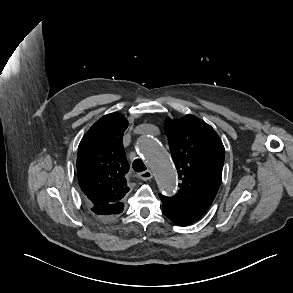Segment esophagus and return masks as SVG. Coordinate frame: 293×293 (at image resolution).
<instances>
[{
	"mask_svg": "<svg viewBox=\"0 0 293 293\" xmlns=\"http://www.w3.org/2000/svg\"><path fill=\"white\" fill-rule=\"evenodd\" d=\"M137 177L143 181L149 180L153 177V174L150 170H146L144 172L137 173Z\"/></svg>",
	"mask_w": 293,
	"mask_h": 293,
	"instance_id": "34e87169",
	"label": "esophagus"
}]
</instances>
